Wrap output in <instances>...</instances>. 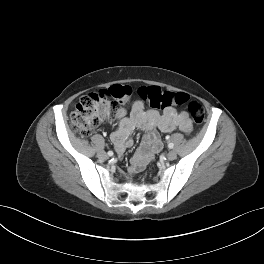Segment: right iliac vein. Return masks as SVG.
I'll return each instance as SVG.
<instances>
[{"label":"right iliac vein","mask_w":264,"mask_h":264,"mask_svg":"<svg viewBox=\"0 0 264 264\" xmlns=\"http://www.w3.org/2000/svg\"><path fill=\"white\" fill-rule=\"evenodd\" d=\"M98 157L101 158V159H107L108 155L104 151H100L98 153Z\"/></svg>","instance_id":"obj_1"}]
</instances>
